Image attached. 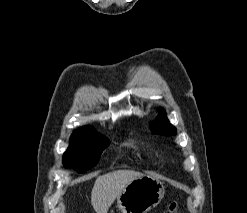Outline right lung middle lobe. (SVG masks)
<instances>
[{
    "label": "right lung middle lobe",
    "mask_w": 247,
    "mask_h": 213,
    "mask_svg": "<svg viewBox=\"0 0 247 213\" xmlns=\"http://www.w3.org/2000/svg\"><path fill=\"white\" fill-rule=\"evenodd\" d=\"M109 140L99 134L83 137H72L70 145L63 156L67 168H74L83 173L94 167Z\"/></svg>",
    "instance_id": "obj_1"
}]
</instances>
